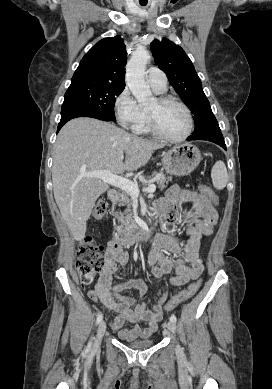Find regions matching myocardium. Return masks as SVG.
<instances>
[{
  "mask_svg": "<svg viewBox=\"0 0 272 389\" xmlns=\"http://www.w3.org/2000/svg\"><path fill=\"white\" fill-rule=\"evenodd\" d=\"M157 102L161 106L168 105V104H175V105L180 106L185 111V113L187 115L188 127H187V130L185 131V133L182 134L181 136H178V137L168 136L160 130L155 115L152 112L148 111L147 114H148L151 132L156 137H158L164 141H167V142H181V141L186 140L188 137H190V135L192 134L193 129H194V118H193V115H192L190 108L184 102H182L174 97H170V96H161L157 99Z\"/></svg>",
  "mask_w": 272,
  "mask_h": 389,
  "instance_id": "myocardium-1",
  "label": "myocardium"
}]
</instances>
